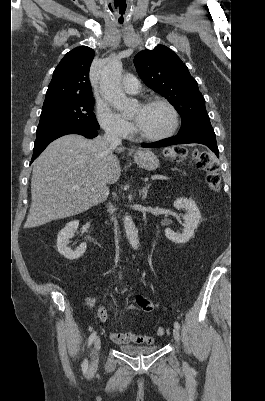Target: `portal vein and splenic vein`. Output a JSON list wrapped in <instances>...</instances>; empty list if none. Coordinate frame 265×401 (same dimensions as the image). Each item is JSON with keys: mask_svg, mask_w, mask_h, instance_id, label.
Masks as SVG:
<instances>
[{"mask_svg": "<svg viewBox=\"0 0 265 401\" xmlns=\"http://www.w3.org/2000/svg\"><path fill=\"white\" fill-rule=\"evenodd\" d=\"M152 180L155 181H164V180H170V177H166L165 174H154L152 177ZM72 188H77V190H79L80 186H78V184H74V186H72Z\"/></svg>", "mask_w": 265, "mask_h": 401, "instance_id": "18ae733b", "label": "portal vein and splenic vein"}]
</instances>
